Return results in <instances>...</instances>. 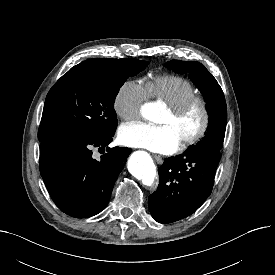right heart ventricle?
<instances>
[{"instance_id": "e07e8e85", "label": "right heart ventricle", "mask_w": 275, "mask_h": 275, "mask_svg": "<svg viewBox=\"0 0 275 275\" xmlns=\"http://www.w3.org/2000/svg\"><path fill=\"white\" fill-rule=\"evenodd\" d=\"M148 96L167 106L178 104L197 94L196 88L187 79L177 75H157L146 82Z\"/></svg>"}]
</instances>
